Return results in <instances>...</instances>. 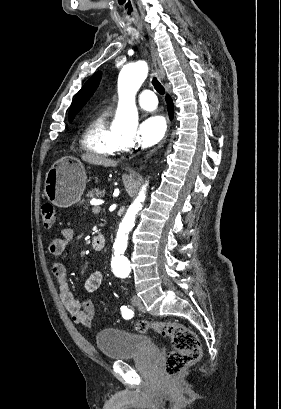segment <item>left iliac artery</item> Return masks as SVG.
Returning <instances> with one entry per match:
<instances>
[{
  "instance_id": "44dca946",
  "label": "left iliac artery",
  "mask_w": 281,
  "mask_h": 409,
  "mask_svg": "<svg viewBox=\"0 0 281 409\" xmlns=\"http://www.w3.org/2000/svg\"><path fill=\"white\" fill-rule=\"evenodd\" d=\"M121 313L125 319H131L133 317V311L126 306L121 307Z\"/></svg>"
}]
</instances>
